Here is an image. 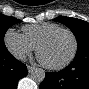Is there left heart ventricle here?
Returning <instances> with one entry per match:
<instances>
[{
	"label": "left heart ventricle",
	"mask_w": 89,
	"mask_h": 89,
	"mask_svg": "<svg viewBox=\"0 0 89 89\" xmlns=\"http://www.w3.org/2000/svg\"><path fill=\"white\" fill-rule=\"evenodd\" d=\"M72 49L71 36L67 32H59L42 46L40 58L51 65L60 64L70 56Z\"/></svg>",
	"instance_id": "1"
}]
</instances>
